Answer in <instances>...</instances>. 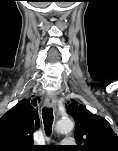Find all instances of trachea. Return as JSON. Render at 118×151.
Returning a JSON list of instances; mask_svg holds the SVG:
<instances>
[{
  "label": "trachea",
  "instance_id": "1",
  "mask_svg": "<svg viewBox=\"0 0 118 151\" xmlns=\"http://www.w3.org/2000/svg\"><path fill=\"white\" fill-rule=\"evenodd\" d=\"M42 118L44 122V127L47 135H50L53 124V111L52 109L44 108L42 110Z\"/></svg>",
  "mask_w": 118,
  "mask_h": 151
}]
</instances>
